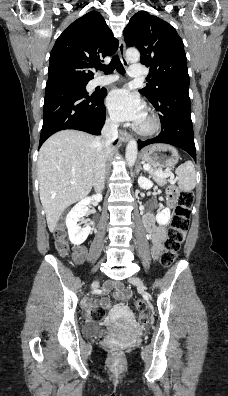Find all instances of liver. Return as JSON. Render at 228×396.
<instances>
[{"label": "liver", "instance_id": "obj_1", "mask_svg": "<svg viewBox=\"0 0 228 396\" xmlns=\"http://www.w3.org/2000/svg\"><path fill=\"white\" fill-rule=\"evenodd\" d=\"M96 139L82 131L63 130L52 135L40 148L39 193L51 232L64 210L92 189Z\"/></svg>", "mask_w": 228, "mask_h": 396}]
</instances>
